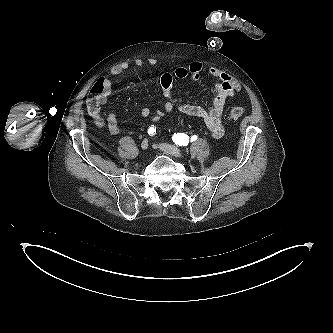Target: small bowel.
<instances>
[{"label":"small bowel","instance_id":"1","mask_svg":"<svg viewBox=\"0 0 333 333\" xmlns=\"http://www.w3.org/2000/svg\"><path fill=\"white\" fill-rule=\"evenodd\" d=\"M146 63L150 66H155L158 61L155 58H149L147 61L142 59H136L134 61V65L136 67H142ZM129 68L130 64L128 62H122L114 65L109 71V77L120 76ZM202 70V64L194 61L188 66L177 67L173 74H163L160 79V84L164 97L166 98V102L164 103L162 110H157L153 113L152 118L154 121H157L162 118L165 113H170L177 109L183 114L203 119L212 137L220 138L224 134L222 115L225 101L228 97L233 96L235 92L241 89L240 84L233 77L215 67L208 69V74L215 78L216 84L210 99V105L207 108L195 104L178 102L173 95L174 77L179 79L190 78L191 80L196 81L200 77ZM101 81L104 87L101 104H105L111 94L112 83L110 78H103ZM150 115L151 111L149 108H143L141 110V116L143 118H147ZM92 118L98 128H107L113 135L121 134L122 129L117 123V114L115 112L108 113L106 118H104L101 114L92 116Z\"/></svg>","mask_w":333,"mask_h":333}]
</instances>
